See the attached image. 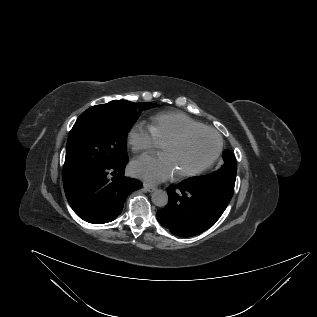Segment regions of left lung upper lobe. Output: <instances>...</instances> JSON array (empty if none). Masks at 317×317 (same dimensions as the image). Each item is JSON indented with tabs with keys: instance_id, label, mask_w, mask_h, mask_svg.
I'll list each match as a JSON object with an SVG mask.
<instances>
[{
	"instance_id": "5c2ea615",
	"label": "left lung upper lobe",
	"mask_w": 317,
	"mask_h": 317,
	"mask_svg": "<svg viewBox=\"0 0 317 317\" xmlns=\"http://www.w3.org/2000/svg\"><path fill=\"white\" fill-rule=\"evenodd\" d=\"M223 160L224 165L220 169L213 173L199 177H202L206 180H218L226 183L235 184L237 171L236 161L233 155L228 150H225L223 152Z\"/></svg>"
}]
</instances>
